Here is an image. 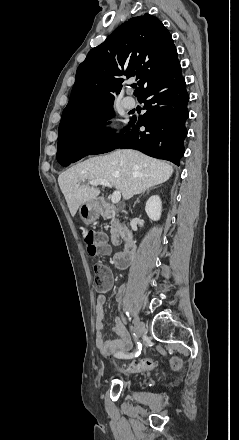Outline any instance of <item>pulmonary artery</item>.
I'll list each match as a JSON object with an SVG mask.
<instances>
[{"label":"pulmonary artery","mask_w":239,"mask_h":440,"mask_svg":"<svg viewBox=\"0 0 239 440\" xmlns=\"http://www.w3.org/2000/svg\"><path fill=\"white\" fill-rule=\"evenodd\" d=\"M122 105L125 109L132 110L135 108L136 102L132 97L127 96V97L123 98Z\"/></svg>","instance_id":"1"}]
</instances>
